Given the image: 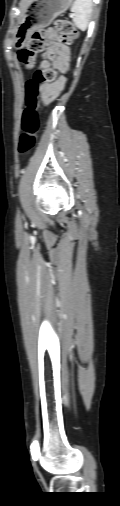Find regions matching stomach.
<instances>
[{
	"label": "stomach",
	"instance_id": "1",
	"mask_svg": "<svg viewBox=\"0 0 120 506\" xmlns=\"http://www.w3.org/2000/svg\"><path fill=\"white\" fill-rule=\"evenodd\" d=\"M73 0H33L22 15L13 33L16 49L25 47L36 28L48 26L57 16L64 13Z\"/></svg>",
	"mask_w": 120,
	"mask_h": 506
}]
</instances>
